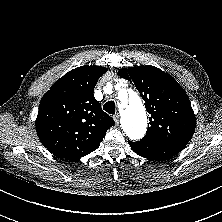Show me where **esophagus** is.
<instances>
[{
  "label": "esophagus",
  "instance_id": "1",
  "mask_svg": "<svg viewBox=\"0 0 222 222\" xmlns=\"http://www.w3.org/2000/svg\"><path fill=\"white\" fill-rule=\"evenodd\" d=\"M113 118H114L115 124L119 125V123H120V115L117 113V114H115L113 116Z\"/></svg>",
  "mask_w": 222,
  "mask_h": 222
}]
</instances>
